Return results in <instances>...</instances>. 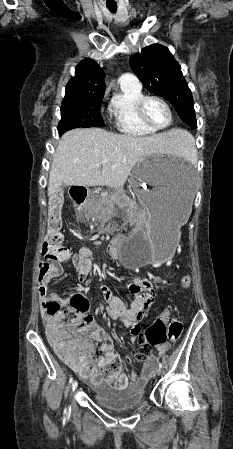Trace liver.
<instances>
[{"label":"liver","instance_id":"6515ba94","mask_svg":"<svg viewBox=\"0 0 233 449\" xmlns=\"http://www.w3.org/2000/svg\"><path fill=\"white\" fill-rule=\"evenodd\" d=\"M183 142V131L135 137L100 128L74 129L58 142L49 174L48 195L61 186L120 188L133 167L152 155L170 154ZM104 159L108 161L102 163Z\"/></svg>","mask_w":233,"mask_h":449}]
</instances>
